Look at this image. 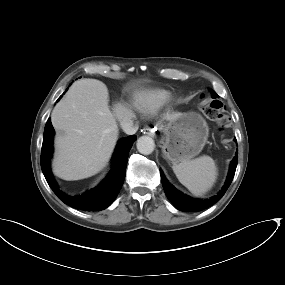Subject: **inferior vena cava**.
<instances>
[{"instance_id": "602c4592", "label": "inferior vena cava", "mask_w": 285, "mask_h": 285, "mask_svg": "<svg viewBox=\"0 0 285 285\" xmlns=\"http://www.w3.org/2000/svg\"><path fill=\"white\" fill-rule=\"evenodd\" d=\"M120 125L123 131L128 135L135 134L138 129V126L134 122V116L131 114L122 117L120 119Z\"/></svg>"}]
</instances>
